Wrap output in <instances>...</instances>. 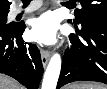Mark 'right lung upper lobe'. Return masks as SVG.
<instances>
[{"instance_id": "cb5924a9", "label": "right lung upper lobe", "mask_w": 107, "mask_h": 89, "mask_svg": "<svg viewBox=\"0 0 107 89\" xmlns=\"http://www.w3.org/2000/svg\"><path fill=\"white\" fill-rule=\"evenodd\" d=\"M10 3L7 0H0V13L8 12Z\"/></svg>"}]
</instances>
